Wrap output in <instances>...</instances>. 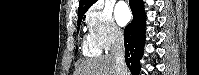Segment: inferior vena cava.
<instances>
[{
    "label": "inferior vena cava",
    "mask_w": 199,
    "mask_h": 75,
    "mask_svg": "<svg viewBox=\"0 0 199 75\" xmlns=\"http://www.w3.org/2000/svg\"><path fill=\"white\" fill-rule=\"evenodd\" d=\"M111 56H113L115 60V74L126 75L127 68L124 60V37L121 31L113 30Z\"/></svg>",
    "instance_id": "obj_1"
}]
</instances>
